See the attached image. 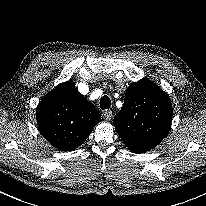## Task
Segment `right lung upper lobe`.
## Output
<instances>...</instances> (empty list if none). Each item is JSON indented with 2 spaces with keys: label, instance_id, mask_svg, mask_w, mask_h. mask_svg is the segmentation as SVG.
I'll return each mask as SVG.
<instances>
[{
  "label": "right lung upper lobe",
  "instance_id": "right-lung-upper-lobe-1",
  "mask_svg": "<svg viewBox=\"0 0 206 206\" xmlns=\"http://www.w3.org/2000/svg\"><path fill=\"white\" fill-rule=\"evenodd\" d=\"M38 129L54 147L72 151L101 120L96 108L67 81L46 94L36 112Z\"/></svg>",
  "mask_w": 206,
  "mask_h": 206
}]
</instances>
